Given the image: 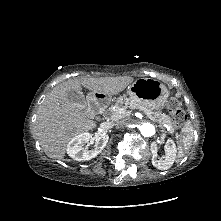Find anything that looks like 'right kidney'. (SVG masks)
Listing matches in <instances>:
<instances>
[{
    "label": "right kidney",
    "instance_id": "1",
    "mask_svg": "<svg viewBox=\"0 0 221 221\" xmlns=\"http://www.w3.org/2000/svg\"><path fill=\"white\" fill-rule=\"evenodd\" d=\"M94 137L90 133H81L72 138L67 145V154L76 161H88L95 158L108 143L109 136L102 134L95 139L93 150L84 149L85 144L90 145L94 142Z\"/></svg>",
    "mask_w": 221,
    "mask_h": 221
}]
</instances>
